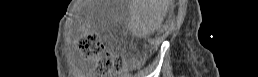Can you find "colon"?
Wrapping results in <instances>:
<instances>
[{"label": "colon", "instance_id": "5ec220e1", "mask_svg": "<svg viewBox=\"0 0 258 77\" xmlns=\"http://www.w3.org/2000/svg\"><path fill=\"white\" fill-rule=\"evenodd\" d=\"M78 49L85 58H99L97 72L107 73L110 70H121L126 62L120 57L104 53L103 44L95 33H87L78 41Z\"/></svg>", "mask_w": 258, "mask_h": 77}]
</instances>
